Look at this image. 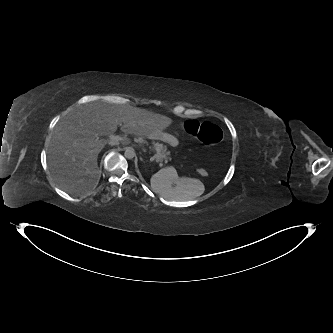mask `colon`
I'll return each instance as SVG.
<instances>
[{
	"label": "colon",
	"mask_w": 333,
	"mask_h": 333,
	"mask_svg": "<svg viewBox=\"0 0 333 333\" xmlns=\"http://www.w3.org/2000/svg\"><path fill=\"white\" fill-rule=\"evenodd\" d=\"M184 129L187 133L205 144L215 145L220 143L223 139L222 130L217 125L210 122L187 120L184 122ZM199 174L205 176L207 173L203 169H200Z\"/></svg>",
	"instance_id": "colon-1"
}]
</instances>
